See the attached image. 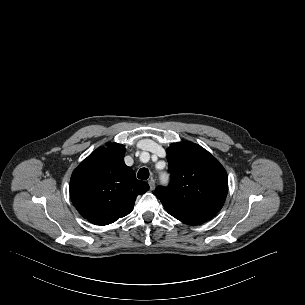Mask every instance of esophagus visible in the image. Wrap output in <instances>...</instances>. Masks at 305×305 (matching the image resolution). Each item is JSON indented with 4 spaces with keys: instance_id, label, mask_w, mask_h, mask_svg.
Returning <instances> with one entry per match:
<instances>
[{
    "instance_id": "1",
    "label": "esophagus",
    "mask_w": 305,
    "mask_h": 305,
    "mask_svg": "<svg viewBox=\"0 0 305 305\" xmlns=\"http://www.w3.org/2000/svg\"><path fill=\"white\" fill-rule=\"evenodd\" d=\"M148 184L150 186V190L151 191L154 190V188H155V180H153V179L149 180Z\"/></svg>"
}]
</instances>
